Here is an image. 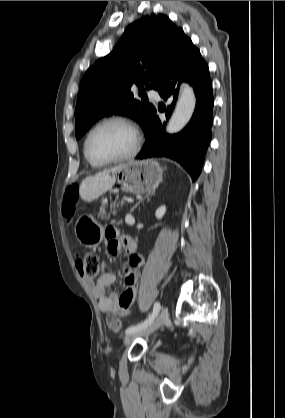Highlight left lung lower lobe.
Wrapping results in <instances>:
<instances>
[{"label": "left lung lower lobe", "instance_id": "1", "mask_svg": "<svg viewBox=\"0 0 285 418\" xmlns=\"http://www.w3.org/2000/svg\"><path fill=\"white\" fill-rule=\"evenodd\" d=\"M182 81L193 86L196 96V106L190 122L180 133L167 135L166 123L161 121L155 112L146 133V141L137 159L171 158L179 162L192 179L196 180L211 140L214 99L208 65L187 36L180 41L159 83L160 96L172 102L167 109H160L165 111L167 119L174 109L175 94L178 93Z\"/></svg>", "mask_w": 285, "mask_h": 418}]
</instances>
